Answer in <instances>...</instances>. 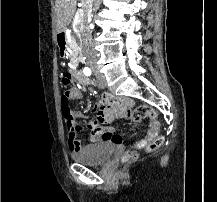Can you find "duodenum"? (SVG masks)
Masks as SVG:
<instances>
[{
    "label": "duodenum",
    "mask_w": 217,
    "mask_h": 202,
    "mask_svg": "<svg viewBox=\"0 0 217 202\" xmlns=\"http://www.w3.org/2000/svg\"><path fill=\"white\" fill-rule=\"evenodd\" d=\"M57 45L59 50V55L62 58H65L67 55V35L66 32L61 31L57 34ZM75 78L85 86H92L93 82L90 81L84 74V71L77 70L75 71Z\"/></svg>",
    "instance_id": "410a0bca"
}]
</instances>
